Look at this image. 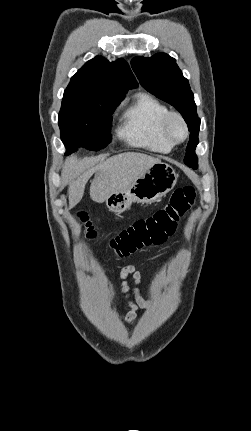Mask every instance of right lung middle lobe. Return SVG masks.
Wrapping results in <instances>:
<instances>
[{
  "label": "right lung middle lobe",
  "mask_w": 251,
  "mask_h": 431,
  "mask_svg": "<svg viewBox=\"0 0 251 431\" xmlns=\"http://www.w3.org/2000/svg\"><path fill=\"white\" fill-rule=\"evenodd\" d=\"M122 100L66 88L58 120L66 155L80 146L94 151L104 148L111 139L112 113Z\"/></svg>",
  "instance_id": "right-lung-middle-lobe-1"
}]
</instances>
